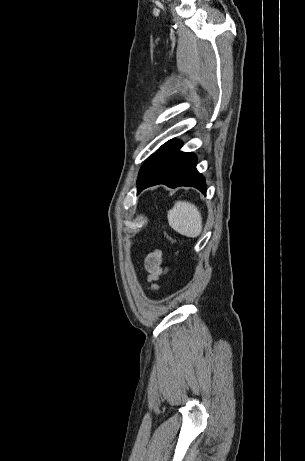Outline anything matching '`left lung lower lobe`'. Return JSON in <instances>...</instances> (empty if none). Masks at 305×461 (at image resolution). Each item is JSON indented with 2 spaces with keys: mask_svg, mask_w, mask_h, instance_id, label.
I'll use <instances>...</instances> for the list:
<instances>
[{
  "mask_svg": "<svg viewBox=\"0 0 305 461\" xmlns=\"http://www.w3.org/2000/svg\"><path fill=\"white\" fill-rule=\"evenodd\" d=\"M181 143L170 140L152 156V166L138 181V192L143 189L165 184L171 188L192 186L206 194V185L196 169V157L192 153L180 152Z\"/></svg>",
  "mask_w": 305,
  "mask_h": 461,
  "instance_id": "0a47b994",
  "label": "left lung lower lobe"
}]
</instances>
